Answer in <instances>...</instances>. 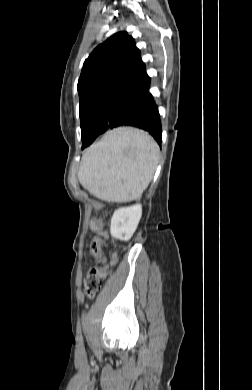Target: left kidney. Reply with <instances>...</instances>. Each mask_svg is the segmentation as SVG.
Segmentation results:
<instances>
[{
    "label": "left kidney",
    "instance_id": "obj_1",
    "mask_svg": "<svg viewBox=\"0 0 252 390\" xmlns=\"http://www.w3.org/2000/svg\"><path fill=\"white\" fill-rule=\"evenodd\" d=\"M142 216V206L136 204L116 210L111 218V236L128 241L133 236Z\"/></svg>",
    "mask_w": 252,
    "mask_h": 390
}]
</instances>
